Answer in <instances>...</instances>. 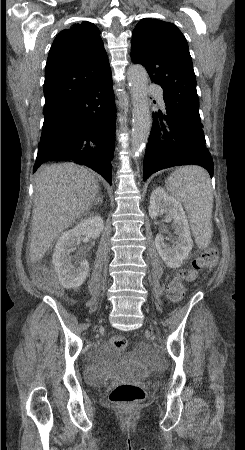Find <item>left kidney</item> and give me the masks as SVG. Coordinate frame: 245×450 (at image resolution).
Masks as SVG:
<instances>
[{
	"label": "left kidney",
	"mask_w": 245,
	"mask_h": 450,
	"mask_svg": "<svg viewBox=\"0 0 245 450\" xmlns=\"http://www.w3.org/2000/svg\"><path fill=\"white\" fill-rule=\"evenodd\" d=\"M163 214H166L168 220H173L175 234L178 237L170 246L165 243L163 235L159 233L155 237V246L168 267L178 268L193 247L190 228L182 205L158 187L150 197L149 216L155 219Z\"/></svg>",
	"instance_id": "left-kidney-1"
}]
</instances>
